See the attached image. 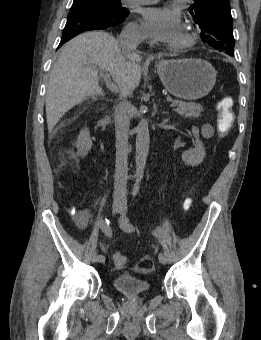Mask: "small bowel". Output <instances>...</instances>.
I'll return each instance as SVG.
<instances>
[{
	"mask_svg": "<svg viewBox=\"0 0 261 340\" xmlns=\"http://www.w3.org/2000/svg\"><path fill=\"white\" fill-rule=\"evenodd\" d=\"M77 226L84 229L89 222V215L86 212H80L76 215Z\"/></svg>",
	"mask_w": 261,
	"mask_h": 340,
	"instance_id": "1",
	"label": "small bowel"
}]
</instances>
